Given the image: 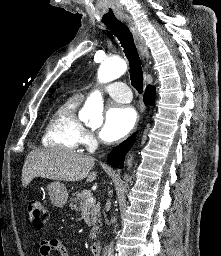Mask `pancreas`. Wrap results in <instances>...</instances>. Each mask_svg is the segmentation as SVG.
<instances>
[{"label":"pancreas","instance_id":"pancreas-1","mask_svg":"<svg viewBox=\"0 0 221 256\" xmlns=\"http://www.w3.org/2000/svg\"><path fill=\"white\" fill-rule=\"evenodd\" d=\"M75 196L74 199H72L73 203L71 204V208L80 211L83 207L84 204L86 203V200L91 197V192L89 190H83L81 192H76L73 194ZM91 208V222L93 225L92 230L90 231L89 237L94 239L96 238V234L98 233L99 227L96 226V223L100 222V205H95V203L89 205Z\"/></svg>","mask_w":221,"mask_h":256}]
</instances>
